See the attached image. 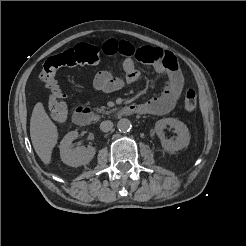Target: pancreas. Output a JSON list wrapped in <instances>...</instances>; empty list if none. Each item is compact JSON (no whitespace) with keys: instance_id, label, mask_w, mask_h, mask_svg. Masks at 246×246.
Listing matches in <instances>:
<instances>
[{"instance_id":"obj_1","label":"pancreas","mask_w":246,"mask_h":246,"mask_svg":"<svg viewBox=\"0 0 246 246\" xmlns=\"http://www.w3.org/2000/svg\"><path fill=\"white\" fill-rule=\"evenodd\" d=\"M96 111H97L98 113L107 114V113H111V112L116 111V109L114 108V109L109 110L108 107L102 106V107H100V108H97Z\"/></svg>"}]
</instances>
